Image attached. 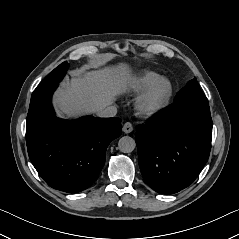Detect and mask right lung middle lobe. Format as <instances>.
<instances>
[{"instance_id":"dd1d6c3e","label":"right lung middle lobe","mask_w":239,"mask_h":239,"mask_svg":"<svg viewBox=\"0 0 239 239\" xmlns=\"http://www.w3.org/2000/svg\"><path fill=\"white\" fill-rule=\"evenodd\" d=\"M69 67V64L65 61L63 63H61L58 67H56L39 85L38 87L34 90V92L32 93V96H35L36 94H38L39 92L43 91L44 89L48 88L49 86L53 85V84H57L59 83L67 69Z\"/></svg>"}]
</instances>
